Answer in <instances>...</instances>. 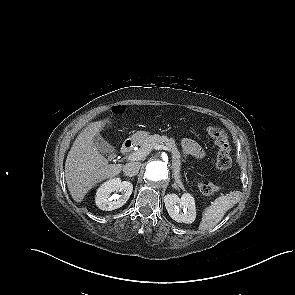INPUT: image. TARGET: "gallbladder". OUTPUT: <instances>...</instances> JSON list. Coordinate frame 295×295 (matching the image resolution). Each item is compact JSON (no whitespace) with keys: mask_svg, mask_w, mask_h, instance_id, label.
<instances>
[{"mask_svg":"<svg viewBox=\"0 0 295 295\" xmlns=\"http://www.w3.org/2000/svg\"><path fill=\"white\" fill-rule=\"evenodd\" d=\"M93 143L99 152L109 154V157L113 158L115 149L102 136L99 134L95 135L93 137Z\"/></svg>","mask_w":295,"mask_h":295,"instance_id":"1","label":"gallbladder"}]
</instances>
